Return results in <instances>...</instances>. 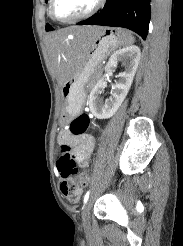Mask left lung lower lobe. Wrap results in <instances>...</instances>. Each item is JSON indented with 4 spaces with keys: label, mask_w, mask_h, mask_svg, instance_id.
<instances>
[{
    "label": "left lung lower lobe",
    "mask_w": 183,
    "mask_h": 246,
    "mask_svg": "<svg viewBox=\"0 0 183 246\" xmlns=\"http://www.w3.org/2000/svg\"><path fill=\"white\" fill-rule=\"evenodd\" d=\"M151 0H107L103 9L78 25L128 28L146 39L151 17Z\"/></svg>",
    "instance_id": "left-lung-lower-lobe-1"
}]
</instances>
